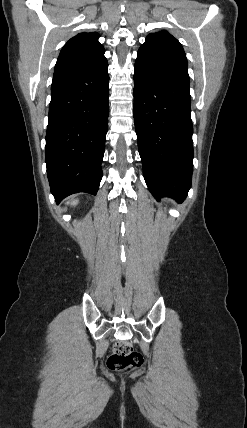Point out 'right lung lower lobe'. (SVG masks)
Returning a JSON list of instances; mask_svg holds the SVG:
<instances>
[{
  "mask_svg": "<svg viewBox=\"0 0 247 428\" xmlns=\"http://www.w3.org/2000/svg\"><path fill=\"white\" fill-rule=\"evenodd\" d=\"M108 62L56 74L51 85L46 166L58 204L77 192L96 195L109 113Z\"/></svg>",
  "mask_w": 247,
  "mask_h": 428,
  "instance_id": "obj_1",
  "label": "right lung lower lobe"
}]
</instances>
